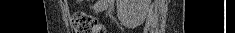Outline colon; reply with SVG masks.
<instances>
[{
	"instance_id": "colon-1",
	"label": "colon",
	"mask_w": 235,
	"mask_h": 33,
	"mask_svg": "<svg viewBox=\"0 0 235 33\" xmlns=\"http://www.w3.org/2000/svg\"><path fill=\"white\" fill-rule=\"evenodd\" d=\"M72 26L76 33H104V27L98 19L84 12L73 14Z\"/></svg>"
}]
</instances>
